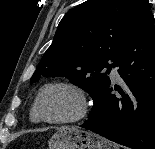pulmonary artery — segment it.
<instances>
[{"mask_svg": "<svg viewBox=\"0 0 155 149\" xmlns=\"http://www.w3.org/2000/svg\"><path fill=\"white\" fill-rule=\"evenodd\" d=\"M111 77L114 80H118L119 79V74H118V71H117L116 68H112V70H111Z\"/></svg>", "mask_w": 155, "mask_h": 149, "instance_id": "e3ab8cb5", "label": "pulmonary artery"}]
</instances>
